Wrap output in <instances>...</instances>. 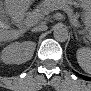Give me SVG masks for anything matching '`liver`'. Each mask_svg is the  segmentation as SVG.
<instances>
[{
  "label": "liver",
  "instance_id": "6515ba94",
  "mask_svg": "<svg viewBox=\"0 0 91 91\" xmlns=\"http://www.w3.org/2000/svg\"><path fill=\"white\" fill-rule=\"evenodd\" d=\"M35 23H36V19H34V21H30V25L35 24ZM25 31L26 29L3 31L1 32V39L2 40H14V39L19 38Z\"/></svg>",
  "mask_w": 91,
  "mask_h": 91
}]
</instances>
